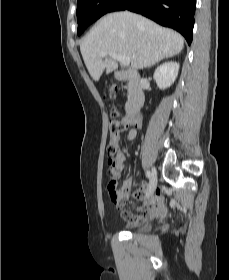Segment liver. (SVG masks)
Returning <instances> with one entry per match:
<instances>
[{
    "instance_id": "1",
    "label": "liver",
    "mask_w": 229,
    "mask_h": 280,
    "mask_svg": "<svg viewBox=\"0 0 229 280\" xmlns=\"http://www.w3.org/2000/svg\"><path fill=\"white\" fill-rule=\"evenodd\" d=\"M184 38L172 29L128 11L110 13L102 17L80 44L84 63L94 81L102 73L116 70V60L103 52H115L130 58L132 69H143L179 54Z\"/></svg>"
}]
</instances>
